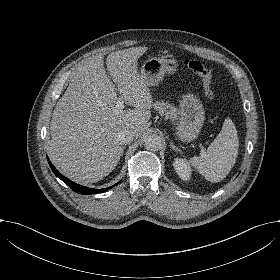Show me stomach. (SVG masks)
<instances>
[{
  "mask_svg": "<svg viewBox=\"0 0 280 280\" xmlns=\"http://www.w3.org/2000/svg\"><path fill=\"white\" fill-rule=\"evenodd\" d=\"M178 61L173 55L152 57L141 67V77L147 86H155L167 72L176 71ZM177 136L183 142L197 138L205 120V111L199 98L191 93L182 96L178 110Z\"/></svg>",
  "mask_w": 280,
  "mask_h": 280,
  "instance_id": "0dacf381",
  "label": "stomach"
}]
</instances>
